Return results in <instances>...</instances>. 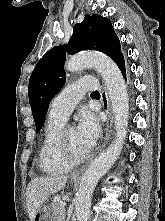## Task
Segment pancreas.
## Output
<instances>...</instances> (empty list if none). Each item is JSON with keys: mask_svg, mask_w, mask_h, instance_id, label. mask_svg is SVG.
Listing matches in <instances>:
<instances>
[{"mask_svg": "<svg viewBox=\"0 0 165 221\" xmlns=\"http://www.w3.org/2000/svg\"><path fill=\"white\" fill-rule=\"evenodd\" d=\"M54 214L57 216V221H64L65 208L61 206V202H54L52 204Z\"/></svg>", "mask_w": 165, "mask_h": 221, "instance_id": "cf45deb5", "label": "pancreas"}]
</instances>
